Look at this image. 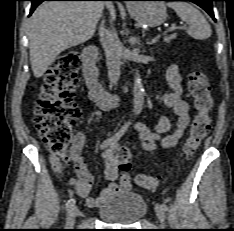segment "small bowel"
<instances>
[{
    "label": "small bowel",
    "instance_id": "1",
    "mask_svg": "<svg viewBox=\"0 0 234 231\" xmlns=\"http://www.w3.org/2000/svg\"><path fill=\"white\" fill-rule=\"evenodd\" d=\"M166 78L171 91L163 96V102L177 116L175 130L172 134L164 135L173 126L168 116H162L153 130L142 122H134L133 127L138 131L140 144L146 151H155L158 147H174L184 135L190 121L189 106L183 99L184 87L181 74L176 65H171L168 68ZM84 142V135L78 133L70 148L68 160L74 163L77 175L76 178L70 180V184L78 196L86 199L89 207L95 208L105 204L121 190L127 189L130 181L127 173L120 174L118 170L116 153L119 149V142L114 138V135L107 134L100 148L105 163L104 176L109 183L97 196H91L94 176L87 169L85 159L82 157ZM50 163L54 171L59 172L61 170L62 163L57 156L50 155Z\"/></svg>",
    "mask_w": 234,
    "mask_h": 231
}]
</instances>
